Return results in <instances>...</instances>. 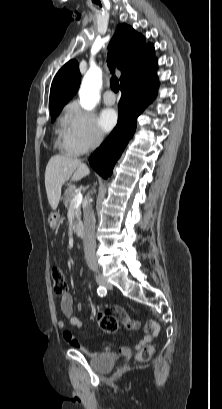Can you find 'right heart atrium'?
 I'll return each mask as SVG.
<instances>
[{
	"label": "right heart atrium",
	"mask_w": 222,
	"mask_h": 409,
	"mask_svg": "<svg viewBox=\"0 0 222 409\" xmlns=\"http://www.w3.org/2000/svg\"><path fill=\"white\" fill-rule=\"evenodd\" d=\"M63 135L66 146L75 154L94 150L104 140L94 115L83 110L77 103H71L66 108Z\"/></svg>",
	"instance_id": "obj_1"
}]
</instances>
